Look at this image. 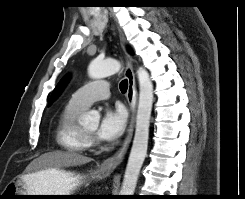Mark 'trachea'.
<instances>
[{"label":"trachea","mask_w":245,"mask_h":199,"mask_svg":"<svg viewBox=\"0 0 245 199\" xmlns=\"http://www.w3.org/2000/svg\"><path fill=\"white\" fill-rule=\"evenodd\" d=\"M127 88H128V81L127 80L121 81V83H120V91L122 93H125L127 91Z\"/></svg>","instance_id":"3493384b"}]
</instances>
